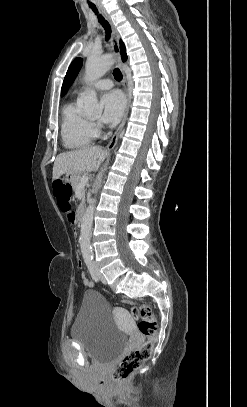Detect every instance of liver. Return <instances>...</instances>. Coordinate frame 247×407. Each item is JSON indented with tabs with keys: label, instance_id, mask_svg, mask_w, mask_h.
Instances as JSON below:
<instances>
[{
	"label": "liver",
	"instance_id": "1",
	"mask_svg": "<svg viewBox=\"0 0 247 407\" xmlns=\"http://www.w3.org/2000/svg\"><path fill=\"white\" fill-rule=\"evenodd\" d=\"M106 155L98 146L61 153L53 165V180L59 179L65 173L80 175L83 172L97 171Z\"/></svg>",
	"mask_w": 247,
	"mask_h": 407
}]
</instances>
